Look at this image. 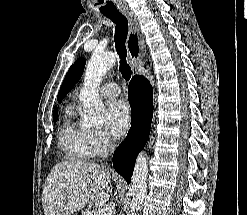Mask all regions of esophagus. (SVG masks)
Instances as JSON below:
<instances>
[{"label":"esophagus","instance_id":"1","mask_svg":"<svg viewBox=\"0 0 247 215\" xmlns=\"http://www.w3.org/2000/svg\"><path fill=\"white\" fill-rule=\"evenodd\" d=\"M121 12L129 22L126 47L129 53L132 73L133 75H137L138 66L141 65L144 56V39L140 33V24L133 11L123 8Z\"/></svg>","mask_w":247,"mask_h":215}]
</instances>
